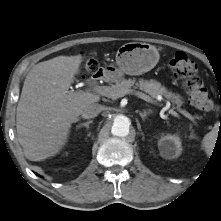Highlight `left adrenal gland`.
Segmentation results:
<instances>
[{"label": "left adrenal gland", "mask_w": 221, "mask_h": 221, "mask_svg": "<svg viewBox=\"0 0 221 221\" xmlns=\"http://www.w3.org/2000/svg\"><path fill=\"white\" fill-rule=\"evenodd\" d=\"M152 113L151 110L148 111H144V112H139V115L141 116V118L144 120L148 115H150Z\"/></svg>", "instance_id": "1"}]
</instances>
